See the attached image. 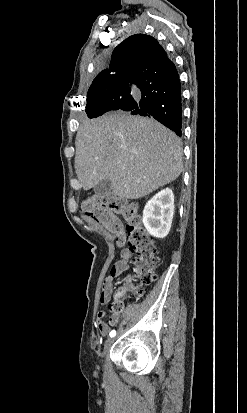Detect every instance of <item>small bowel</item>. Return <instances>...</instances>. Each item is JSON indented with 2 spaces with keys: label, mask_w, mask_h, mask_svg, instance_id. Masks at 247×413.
Listing matches in <instances>:
<instances>
[{
  "label": "small bowel",
  "mask_w": 247,
  "mask_h": 413,
  "mask_svg": "<svg viewBox=\"0 0 247 413\" xmlns=\"http://www.w3.org/2000/svg\"><path fill=\"white\" fill-rule=\"evenodd\" d=\"M131 253L125 250L121 253L119 259L115 261L110 269L109 275L105 278L100 293V303L105 305L111 298L113 291V282L116 278L125 274L130 268ZM105 313L100 311L97 315L96 330L101 336H107L110 333L111 327L116 326L120 317L117 314H113L109 318V322L104 321Z\"/></svg>",
  "instance_id": "small-bowel-1"
}]
</instances>
